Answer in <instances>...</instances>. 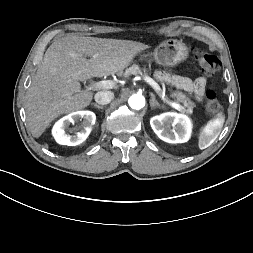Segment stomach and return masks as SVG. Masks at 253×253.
Masks as SVG:
<instances>
[{"label":"stomach","instance_id":"1","mask_svg":"<svg viewBox=\"0 0 253 253\" xmlns=\"http://www.w3.org/2000/svg\"><path fill=\"white\" fill-rule=\"evenodd\" d=\"M189 56L187 46L180 40L163 41L153 53L154 60L163 66H175L185 61Z\"/></svg>","mask_w":253,"mask_h":253}]
</instances>
